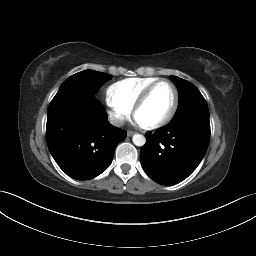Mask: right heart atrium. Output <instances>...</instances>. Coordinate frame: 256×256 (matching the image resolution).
I'll list each match as a JSON object with an SVG mask.
<instances>
[{
	"instance_id": "1",
	"label": "right heart atrium",
	"mask_w": 256,
	"mask_h": 256,
	"mask_svg": "<svg viewBox=\"0 0 256 256\" xmlns=\"http://www.w3.org/2000/svg\"><path fill=\"white\" fill-rule=\"evenodd\" d=\"M107 105H108V116L111 122L116 126H120L124 124L125 121L131 115V109L127 107L111 103L109 100H107Z\"/></svg>"
}]
</instances>
